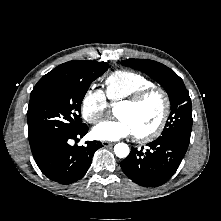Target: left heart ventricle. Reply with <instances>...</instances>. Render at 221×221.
<instances>
[{"label":"left heart ventricle","mask_w":221,"mask_h":221,"mask_svg":"<svg viewBox=\"0 0 221 221\" xmlns=\"http://www.w3.org/2000/svg\"><path fill=\"white\" fill-rule=\"evenodd\" d=\"M163 111V100L159 94H154L136 107L118 105L115 115L126 120L134 134H144L157 125Z\"/></svg>","instance_id":"b2bd125f"}]
</instances>
